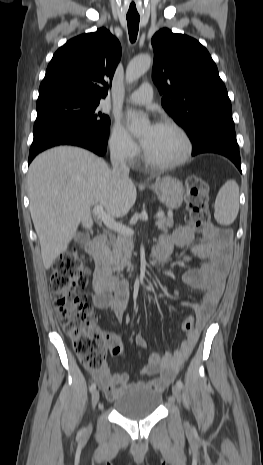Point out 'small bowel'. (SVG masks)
Returning a JSON list of instances; mask_svg holds the SVG:
<instances>
[{
	"mask_svg": "<svg viewBox=\"0 0 263 465\" xmlns=\"http://www.w3.org/2000/svg\"><path fill=\"white\" fill-rule=\"evenodd\" d=\"M195 232L190 226H179L172 234L161 236L153 250L156 259L169 256L174 246H191V252L206 262L188 270L183 275V282L204 293L201 300H182L183 306L194 310L197 318V328L188 333L186 339L173 351L163 355L152 352L148 355L143 368V376L149 380L130 382L128 372L111 373L108 368L93 371L92 376L105 391L109 400H115L133 386L146 385L151 390L161 393L167 384L177 375L183 364L192 353L202 327L213 314L222 295L227 274V259L229 253L230 235L227 232L212 233L202 242H194ZM128 286L121 282L114 294L99 291L92 301L98 309H110L119 320H122L127 308ZM106 346L114 357L123 358L124 349L120 339L105 333ZM135 346L146 350L145 339L138 335L134 340Z\"/></svg>",
	"mask_w": 263,
	"mask_h": 465,
	"instance_id": "1",
	"label": "small bowel"
}]
</instances>
